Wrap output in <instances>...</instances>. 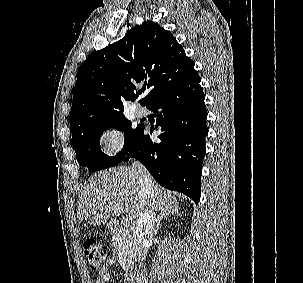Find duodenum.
Wrapping results in <instances>:
<instances>
[{"label": "duodenum", "instance_id": "1", "mask_svg": "<svg viewBox=\"0 0 303 283\" xmlns=\"http://www.w3.org/2000/svg\"><path fill=\"white\" fill-rule=\"evenodd\" d=\"M109 228L113 234H119L120 224L117 221H113L109 224ZM146 276V270L141 269L137 273L133 274L130 278L131 283H144Z\"/></svg>", "mask_w": 303, "mask_h": 283}]
</instances>
